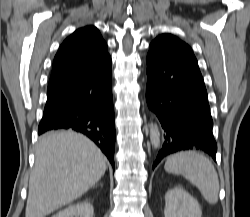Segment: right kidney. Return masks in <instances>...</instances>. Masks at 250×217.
I'll return each mask as SVG.
<instances>
[{
  "label": "right kidney",
  "instance_id": "ca27d5eb",
  "mask_svg": "<svg viewBox=\"0 0 250 217\" xmlns=\"http://www.w3.org/2000/svg\"><path fill=\"white\" fill-rule=\"evenodd\" d=\"M94 209L89 202L70 205L52 217H93Z\"/></svg>",
  "mask_w": 250,
  "mask_h": 217
}]
</instances>
